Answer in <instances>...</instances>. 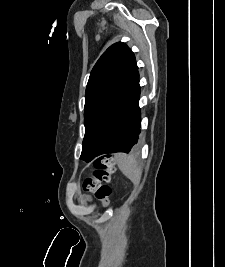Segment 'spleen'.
<instances>
[{
    "mask_svg": "<svg viewBox=\"0 0 225 267\" xmlns=\"http://www.w3.org/2000/svg\"><path fill=\"white\" fill-rule=\"evenodd\" d=\"M115 161L121 172L132 182H139L141 179L142 171L136 159L127 154H117Z\"/></svg>",
    "mask_w": 225,
    "mask_h": 267,
    "instance_id": "1",
    "label": "spleen"
}]
</instances>
